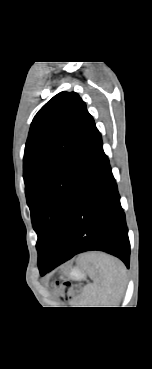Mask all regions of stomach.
I'll return each instance as SVG.
<instances>
[{
    "label": "stomach",
    "instance_id": "1",
    "mask_svg": "<svg viewBox=\"0 0 152 369\" xmlns=\"http://www.w3.org/2000/svg\"><path fill=\"white\" fill-rule=\"evenodd\" d=\"M71 275H72L74 278H76V279H78V278H82V276H83V274H82L79 270H77V269L73 270V271L71 272Z\"/></svg>",
    "mask_w": 152,
    "mask_h": 369
}]
</instances>
